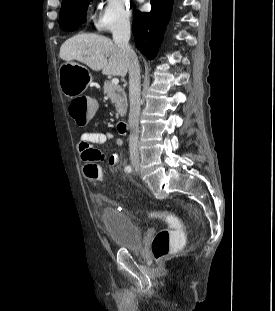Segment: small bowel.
Instances as JSON below:
<instances>
[{
	"label": "small bowel",
	"instance_id": "1",
	"mask_svg": "<svg viewBox=\"0 0 275 311\" xmlns=\"http://www.w3.org/2000/svg\"><path fill=\"white\" fill-rule=\"evenodd\" d=\"M113 135L110 132H83L80 134L78 141L76 143V148L80 154L82 161L86 164L94 162L95 160H102L103 158V149H95L93 145H102L105 144ZM123 140L117 138L115 140V145L118 148L123 147ZM108 164L114 166L119 164L120 158L118 154L112 153L107 158Z\"/></svg>",
	"mask_w": 275,
	"mask_h": 311
}]
</instances>
